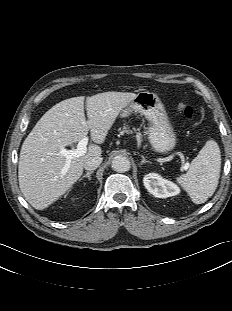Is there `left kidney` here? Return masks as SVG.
<instances>
[{"label": "left kidney", "mask_w": 232, "mask_h": 311, "mask_svg": "<svg viewBox=\"0 0 232 311\" xmlns=\"http://www.w3.org/2000/svg\"><path fill=\"white\" fill-rule=\"evenodd\" d=\"M143 183L145 188L158 198H167L180 193V189L175 183L164 179L157 173H149L145 175Z\"/></svg>", "instance_id": "obj_1"}]
</instances>
